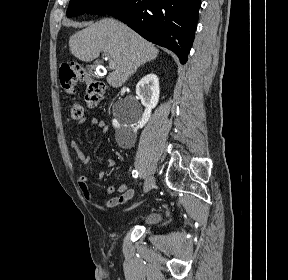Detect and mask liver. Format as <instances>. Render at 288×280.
I'll return each mask as SVG.
<instances>
[{
  "instance_id": "obj_1",
  "label": "liver",
  "mask_w": 288,
  "mask_h": 280,
  "mask_svg": "<svg viewBox=\"0 0 288 280\" xmlns=\"http://www.w3.org/2000/svg\"><path fill=\"white\" fill-rule=\"evenodd\" d=\"M70 52L79 60L90 62L100 52L107 53L115 67L107 76L114 88L121 87L138 67L154 60L159 50L123 23L104 18L73 34Z\"/></svg>"
}]
</instances>
